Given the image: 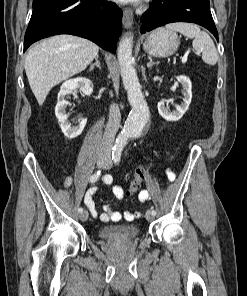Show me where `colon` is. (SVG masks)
Masks as SVG:
<instances>
[{
    "label": "colon",
    "instance_id": "5ec220e1",
    "mask_svg": "<svg viewBox=\"0 0 247 296\" xmlns=\"http://www.w3.org/2000/svg\"><path fill=\"white\" fill-rule=\"evenodd\" d=\"M147 170H148L147 167H140L136 170L134 174V178L127 192L128 195L134 194L140 189L142 183L145 181Z\"/></svg>",
    "mask_w": 247,
    "mask_h": 296
}]
</instances>
